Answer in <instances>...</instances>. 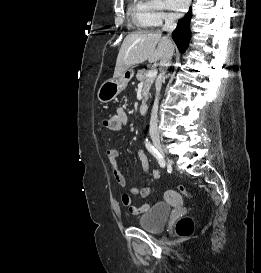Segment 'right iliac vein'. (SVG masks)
Listing matches in <instances>:
<instances>
[{
    "mask_svg": "<svg viewBox=\"0 0 261 273\" xmlns=\"http://www.w3.org/2000/svg\"><path fill=\"white\" fill-rule=\"evenodd\" d=\"M152 142L154 144V146L156 147V149L158 150V152L162 155V157L166 160V155H165V149L161 144V141L159 139V137L154 136L152 138Z\"/></svg>",
    "mask_w": 261,
    "mask_h": 273,
    "instance_id": "1",
    "label": "right iliac vein"
}]
</instances>
